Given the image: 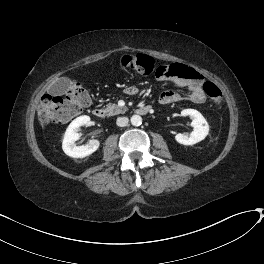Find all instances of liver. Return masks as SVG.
Wrapping results in <instances>:
<instances>
[{"mask_svg": "<svg viewBox=\"0 0 264 264\" xmlns=\"http://www.w3.org/2000/svg\"><path fill=\"white\" fill-rule=\"evenodd\" d=\"M39 114H41V110L39 111ZM42 125L44 126V124L42 123Z\"/></svg>", "mask_w": 264, "mask_h": 264, "instance_id": "liver-1", "label": "liver"}]
</instances>
